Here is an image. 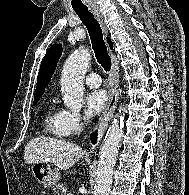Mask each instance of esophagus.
<instances>
[{"label":"esophagus","instance_id":"34e87169","mask_svg":"<svg viewBox=\"0 0 189 195\" xmlns=\"http://www.w3.org/2000/svg\"><path fill=\"white\" fill-rule=\"evenodd\" d=\"M90 10L95 16L96 20L99 22L104 35L107 36L108 35L107 27L104 21V17L100 13L98 6H91ZM110 55H111V60H112V66H111V71H110V78L112 81V90H111L110 99L108 101V104L104 110L101 121L99 123L98 143L100 142L102 136L104 135L105 130L114 114L116 104L119 98L118 62H117L116 56L112 52H110ZM96 148H97L96 146L91 147L90 152H94Z\"/></svg>","mask_w":189,"mask_h":195}]
</instances>
